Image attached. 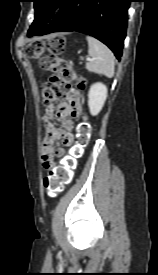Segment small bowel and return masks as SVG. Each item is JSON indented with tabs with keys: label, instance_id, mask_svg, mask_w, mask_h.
Returning <instances> with one entry per match:
<instances>
[{
	"label": "small bowel",
	"instance_id": "obj_1",
	"mask_svg": "<svg viewBox=\"0 0 158 275\" xmlns=\"http://www.w3.org/2000/svg\"><path fill=\"white\" fill-rule=\"evenodd\" d=\"M81 110L80 95L75 90L69 92L66 102L47 107L43 116L46 134L41 141V158L44 169L52 168L56 158L65 157V149L56 145L59 140L65 147L74 144L72 118L79 117ZM56 120L61 122V129L55 126Z\"/></svg>",
	"mask_w": 158,
	"mask_h": 275
}]
</instances>
